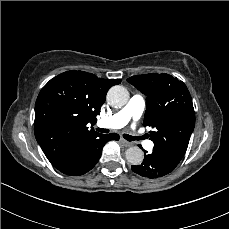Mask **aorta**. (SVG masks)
Segmentation results:
<instances>
[{
  "label": "aorta",
  "mask_w": 229,
  "mask_h": 229,
  "mask_svg": "<svg viewBox=\"0 0 229 229\" xmlns=\"http://www.w3.org/2000/svg\"><path fill=\"white\" fill-rule=\"evenodd\" d=\"M129 100L128 90L120 85L111 87L107 93V101L112 107L121 108ZM126 160L132 165H140L144 159V153L138 146H131L125 152Z\"/></svg>",
  "instance_id": "1"
}]
</instances>
